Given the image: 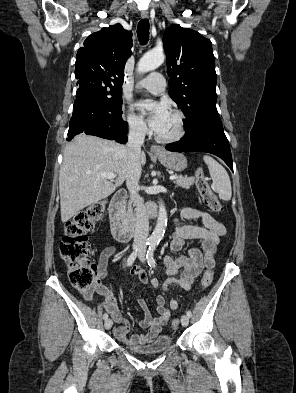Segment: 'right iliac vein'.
Returning a JSON list of instances; mask_svg holds the SVG:
<instances>
[{"instance_id": "1", "label": "right iliac vein", "mask_w": 296, "mask_h": 393, "mask_svg": "<svg viewBox=\"0 0 296 393\" xmlns=\"http://www.w3.org/2000/svg\"><path fill=\"white\" fill-rule=\"evenodd\" d=\"M112 325H113L112 319H106V320H105L104 326H105V328H106L107 330H109V329L112 327Z\"/></svg>"}]
</instances>
